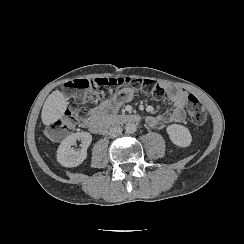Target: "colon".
Wrapping results in <instances>:
<instances>
[{"label": "colon", "instance_id": "colon-1", "mask_svg": "<svg viewBox=\"0 0 244 244\" xmlns=\"http://www.w3.org/2000/svg\"><path fill=\"white\" fill-rule=\"evenodd\" d=\"M143 86L146 94H152L156 99H162L165 92L162 88L155 85L148 79H133L131 77H106L90 79L81 76L77 79L67 81L63 87L65 96L71 100H78L73 105V110L60 116L55 122L45 128V132L50 138H66L74 133L80 115L88 110V105L97 99H108L111 97L112 90L121 86ZM99 89L96 94L93 89ZM187 116L196 125H203L207 120V114L203 104L194 95L188 97Z\"/></svg>", "mask_w": 244, "mask_h": 244}]
</instances>
